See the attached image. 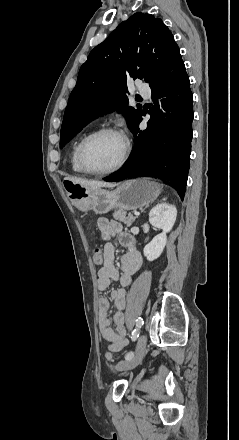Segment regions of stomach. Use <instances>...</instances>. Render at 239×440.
Instances as JSON below:
<instances>
[{
    "instance_id": "0dacf381",
    "label": "stomach",
    "mask_w": 239,
    "mask_h": 440,
    "mask_svg": "<svg viewBox=\"0 0 239 440\" xmlns=\"http://www.w3.org/2000/svg\"><path fill=\"white\" fill-rule=\"evenodd\" d=\"M70 190L66 188L69 198L74 200L78 210L88 212L93 210L95 214H107L110 210H137L148 206L158 198L161 192V184L150 182V178L139 180H127L122 182L116 190L108 192L101 188H82L80 184L69 182Z\"/></svg>"
}]
</instances>
